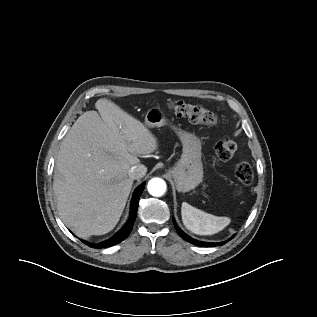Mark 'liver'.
Here are the masks:
<instances>
[{
    "label": "liver",
    "instance_id": "1",
    "mask_svg": "<svg viewBox=\"0 0 317 317\" xmlns=\"http://www.w3.org/2000/svg\"><path fill=\"white\" fill-rule=\"evenodd\" d=\"M95 107L99 113L87 111L73 124L55 163L58 213L81 238L114 229L133 185L131 166L158 148L152 132L108 98Z\"/></svg>",
    "mask_w": 317,
    "mask_h": 317
}]
</instances>
